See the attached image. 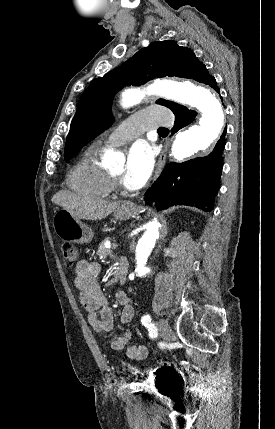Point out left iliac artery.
<instances>
[{
  "instance_id": "1",
  "label": "left iliac artery",
  "mask_w": 275,
  "mask_h": 429,
  "mask_svg": "<svg viewBox=\"0 0 275 429\" xmlns=\"http://www.w3.org/2000/svg\"><path fill=\"white\" fill-rule=\"evenodd\" d=\"M141 322H142V324L144 325V326H148L150 323H151V317H150V315H144L142 318H141Z\"/></svg>"
}]
</instances>
